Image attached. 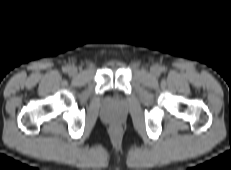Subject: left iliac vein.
Returning a JSON list of instances; mask_svg holds the SVG:
<instances>
[{
  "label": "left iliac vein",
  "mask_w": 231,
  "mask_h": 170,
  "mask_svg": "<svg viewBox=\"0 0 231 170\" xmlns=\"http://www.w3.org/2000/svg\"><path fill=\"white\" fill-rule=\"evenodd\" d=\"M150 73L152 76L157 77L160 75V69L158 66H152L150 69Z\"/></svg>",
  "instance_id": "1"
}]
</instances>
